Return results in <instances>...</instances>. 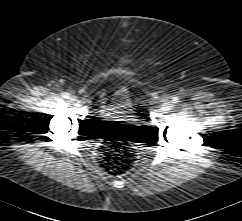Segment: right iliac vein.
<instances>
[{
	"label": "right iliac vein",
	"mask_w": 242,
	"mask_h": 221,
	"mask_svg": "<svg viewBox=\"0 0 242 221\" xmlns=\"http://www.w3.org/2000/svg\"><path fill=\"white\" fill-rule=\"evenodd\" d=\"M71 102L74 104V105H77L79 103L78 99L75 98V97H72L71 98Z\"/></svg>",
	"instance_id": "1"
}]
</instances>
